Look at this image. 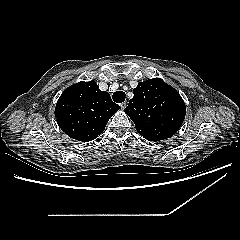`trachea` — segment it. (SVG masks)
Instances as JSON below:
<instances>
[{"mask_svg": "<svg viewBox=\"0 0 240 240\" xmlns=\"http://www.w3.org/2000/svg\"><path fill=\"white\" fill-rule=\"evenodd\" d=\"M125 98H126V94L123 92V91H116L114 94H113V100L116 102V103H122L125 101Z\"/></svg>", "mask_w": 240, "mask_h": 240, "instance_id": "trachea-1", "label": "trachea"}]
</instances>
